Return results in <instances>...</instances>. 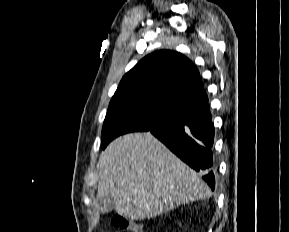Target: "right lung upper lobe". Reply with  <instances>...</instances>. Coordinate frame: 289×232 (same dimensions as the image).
<instances>
[{
  "label": "right lung upper lobe",
  "mask_w": 289,
  "mask_h": 232,
  "mask_svg": "<svg viewBox=\"0 0 289 232\" xmlns=\"http://www.w3.org/2000/svg\"><path fill=\"white\" fill-rule=\"evenodd\" d=\"M144 98L181 111L208 104L199 71L182 54L147 55L122 78L113 98Z\"/></svg>",
  "instance_id": "cb5924a9"
}]
</instances>
